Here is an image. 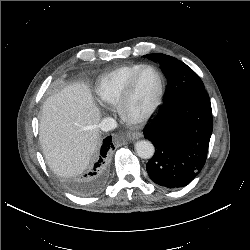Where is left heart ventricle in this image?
<instances>
[{
	"mask_svg": "<svg viewBox=\"0 0 250 250\" xmlns=\"http://www.w3.org/2000/svg\"><path fill=\"white\" fill-rule=\"evenodd\" d=\"M158 88V78L151 70H146L138 79L132 98L129 103L131 114L138 115L144 112L151 104Z\"/></svg>",
	"mask_w": 250,
	"mask_h": 250,
	"instance_id": "b2bd125f",
	"label": "left heart ventricle"
}]
</instances>
